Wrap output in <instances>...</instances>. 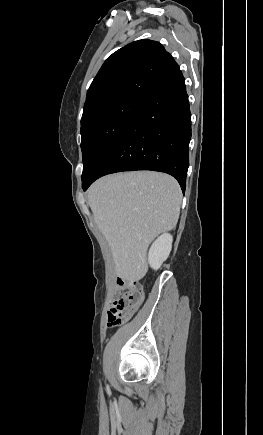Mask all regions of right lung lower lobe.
Returning <instances> with one entry per match:
<instances>
[{
    "label": "right lung lower lobe",
    "instance_id": "right-lung-lower-lobe-1",
    "mask_svg": "<svg viewBox=\"0 0 263 435\" xmlns=\"http://www.w3.org/2000/svg\"><path fill=\"white\" fill-rule=\"evenodd\" d=\"M190 138L191 113L180 73L143 103L82 188L106 174L153 170L175 177L184 192Z\"/></svg>",
    "mask_w": 263,
    "mask_h": 435
}]
</instances>
